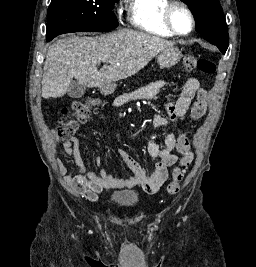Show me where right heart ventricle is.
Listing matches in <instances>:
<instances>
[{
	"instance_id": "right-heart-ventricle-1",
	"label": "right heart ventricle",
	"mask_w": 256,
	"mask_h": 267,
	"mask_svg": "<svg viewBox=\"0 0 256 267\" xmlns=\"http://www.w3.org/2000/svg\"><path fill=\"white\" fill-rule=\"evenodd\" d=\"M166 9V0L136 1L134 10L140 15L134 19V24L143 28L142 36H176L164 20Z\"/></svg>"
}]
</instances>
